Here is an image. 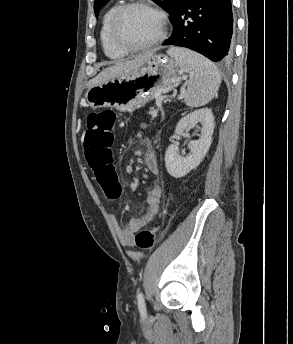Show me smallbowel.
Returning <instances> with one entry per match:
<instances>
[{"label": "small bowel", "mask_w": 293, "mask_h": 344, "mask_svg": "<svg viewBox=\"0 0 293 344\" xmlns=\"http://www.w3.org/2000/svg\"><path fill=\"white\" fill-rule=\"evenodd\" d=\"M143 161L146 169L157 175L159 173V166L154 154V151L149 143L146 145V150L143 154ZM113 169V167H112ZM114 171V169H113ZM162 189L159 184H155L147 194V208L144 214L138 218H133L128 221L126 225H121L117 216H113L112 220L116 228V232L120 243L124 247H132L135 244V233L147 227L155 218L159 211V204L161 199ZM128 255L133 260H139L142 254L137 251L129 250Z\"/></svg>", "instance_id": "c3829d8e"}]
</instances>
